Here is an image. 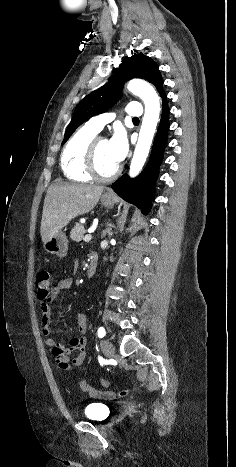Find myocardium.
<instances>
[{
    "instance_id": "1",
    "label": "myocardium",
    "mask_w": 236,
    "mask_h": 467,
    "mask_svg": "<svg viewBox=\"0 0 236 467\" xmlns=\"http://www.w3.org/2000/svg\"><path fill=\"white\" fill-rule=\"evenodd\" d=\"M101 139H104L100 136H95L90 142L87 151H86V171L94 179L99 181H110L116 178L120 171L121 166L117 165L116 168L107 175L102 174L97 168V147Z\"/></svg>"
}]
</instances>
